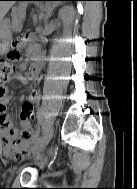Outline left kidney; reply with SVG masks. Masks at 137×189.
I'll return each mask as SVG.
<instances>
[{"label": "left kidney", "mask_w": 137, "mask_h": 189, "mask_svg": "<svg viewBox=\"0 0 137 189\" xmlns=\"http://www.w3.org/2000/svg\"><path fill=\"white\" fill-rule=\"evenodd\" d=\"M71 14H72V12L67 7L62 8L59 11V17L62 19L64 25H66L70 21Z\"/></svg>", "instance_id": "1"}]
</instances>
